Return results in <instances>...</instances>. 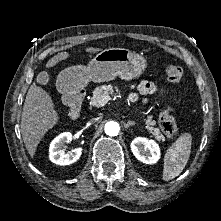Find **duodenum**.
<instances>
[{"mask_svg":"<svg viewBox=\"0 0 221 221\" xmlns=\"http://www.w3.org/2000/svg\"><path fill=\"white\" fill-rule=\"evenodd\" d=\"M84 95V90H76L68 94L67 104L70 107V114L73 119H78L81 115V106L84 100Z\"/></svg>","mask_w":221,"mask_h":221,"instance_id":"410a0bca","label":"duodenum"}]
</instances>
